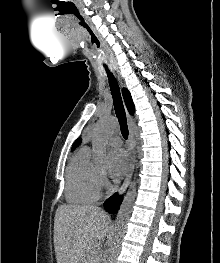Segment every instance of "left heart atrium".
<instances>
[{
    "mask_svg": "<svg viewBox=\"0 0 220 263\" xmlns=\"http://www.w3.org/2000/svg\"><path fill=\"white\" fill-rule=\"evenodd\" d=\"M128 158L122 149H114L109 153L108 174L111 179L118 180L128 169Z\"/></svg>",
    "mask_w": 220,
    "mask_h": 263,
    "instance_id": "obj_1",
    "label": "left heart atrium"
}]
</instances>
